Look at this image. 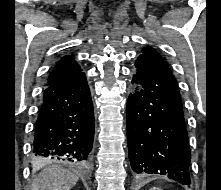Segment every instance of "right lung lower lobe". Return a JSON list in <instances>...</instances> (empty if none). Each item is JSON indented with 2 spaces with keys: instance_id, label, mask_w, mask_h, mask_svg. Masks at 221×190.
<instances>
[{
  "instance_id": "1",
  "label": "right lung lower lobe",
  "mask_w": 221,
  "mask_h": 190,
  "mask_svg": "<svg viewBox=\"0 0 221 190\" xmlns=\"http://www.w3.org/2000/svg\"><path fill=\"white\" fill-rule=\"evenodd\" d=\"M94 139V112L85 74L47 86L34 126L33 155L40 161L87 165Z\"/></svg>"
}]
</instances>
